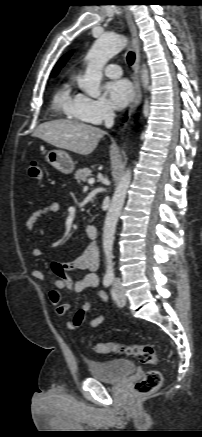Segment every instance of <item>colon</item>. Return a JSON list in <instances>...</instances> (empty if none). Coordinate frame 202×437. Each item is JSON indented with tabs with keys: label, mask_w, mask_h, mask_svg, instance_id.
I'll use <instances>...</instances> for the list:
<instances>
[{
	"label": "colon",
	"mask_w": 202,
	"mask_h": 437,
	"mask_svg": "<svg viewBox=\"0 0 202 437\" xmlns=\"http://www.w3.org/2000/svg\"><path fill=\"white\" fill-rule=\"evenodd\" d=\"M29 176L35 180L43 179V166L41 162L33 160L29 164ZM94 351L99 354L112 352L123 353L133 356L142 364H155L157 355L154 348L147 344H122L115 342H102L94 345ZM162 384V375L157 370L148 371L144 377L135 384L134 393L136 395H147L156 391Z\"/></svg>",
	"instance_id": "1"
}]
</instances>
